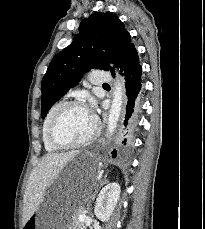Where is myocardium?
Listing matches in <instances>:
<instances>
[{
  "mask_svg": "<svg viewBox=\"0 0 205 229\" xmlns=\"http://www.w3.org/2000/svg\"><path fill=\"white\" fill-rule=\"evenodd\" d=\"M75 106H82V107L86 108L85 104L82 101H79V100L66 101L60 105V107L57 109V111L55 112V114H54V116L50 122L49 130H48V139H49L50 143L53 146L57 147L58 149H70V148H79V147L86 146L89 143H91L99 134L100 122L96 116H93L94 121H95V126H94L92 133L87 138H85L81 141H78V142H73V143L60 142L56 138L55 130H56V127H57L62 115L65 113V111L67 109H69L71 107H75Z\"/></svg>",
  "mask_w": 205,
  "mask_h": 229,
  "instance_id": "1",
  "label": "myocardium"
}]
</instances>
